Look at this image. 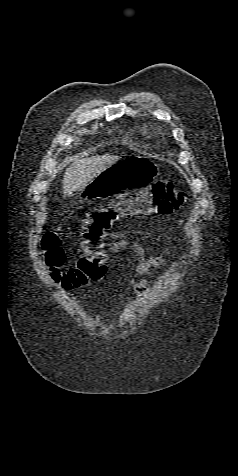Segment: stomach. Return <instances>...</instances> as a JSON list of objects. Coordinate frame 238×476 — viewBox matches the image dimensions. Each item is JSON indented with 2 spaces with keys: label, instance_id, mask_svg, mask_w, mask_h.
Wrapping results in <instances>:
<instances>
[{
  "label": "stomach",
  "instance_id": "0dacf381",
  "mask_svg": "<svg viewBox=\"0 0 238 476\" xmlns=\"http://www.w3.org/2000/svg\"><path fill=\"white\" fill-rule=\"evenodd\" d=\"M154 161L148 156H127L98 174L80 190V197L103 198L120 195L122 190H143L156 178Z\"/></svg>",
  "mask_w": 238,
  "mask_h": 476
}]
</instances>
